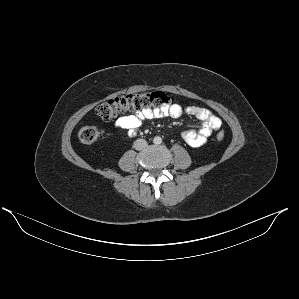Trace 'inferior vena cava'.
Here are the masks:
<instances>
[{"instance_id":"obj_1","label":"inferior vena cava","mask_w":299,"mask_h":299,"mask_svg":"<svg viewBox=\"0 0 299 299\" xmlns=\"http://www.w3.org/2000/svg\"><path fill=\"white\" fill-rule=\"evenodd\" d=\"M148 146V143L146 140L144 139H138L134 142V145L133 147L136 149V150H143L145 149L146 147Z\"/></svg>"}]
</instances>
